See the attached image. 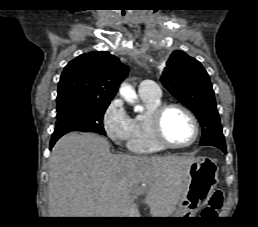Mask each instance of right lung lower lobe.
<instances>
[{
    "mask_svg": "<svg viewBox=\"0 0 258 227\" xmlns=\"http://www.w3.org/2000/svg\"><path fill=\"white\" fill-rule=\"evenodd\" d=\"M68 133L67 131H63V130H54V133L52 134V139L50 142V149L53 147V145L55 144V142L64 134Z\"/></svg>",
    "mask_w": 258,
    "mask_h": 227,
    "instance_id": "98d812e1",
    "label": "right lung lower lobe"
}]
</instances>
